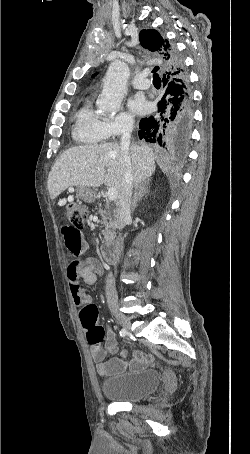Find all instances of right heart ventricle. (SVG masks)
I'll return each instance as SVG.
<instances>
[{"label": "right heart ventricle", "instance_id": "obj_1", "mask_svg": "<svg viewBox=\"0 0 250 454\" xmlns=\"http://www.w3.org/2000/svg\"><path fill=\"white\" fill-rule=\"evenodd\" d=\"M102 118L94 111L90 103H86L75 116L72 129L73 139L84 145H97L108 137Z\"/></svg>", "mask_w": 250, "mask_h": 454}]
</instances>
